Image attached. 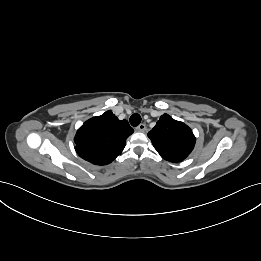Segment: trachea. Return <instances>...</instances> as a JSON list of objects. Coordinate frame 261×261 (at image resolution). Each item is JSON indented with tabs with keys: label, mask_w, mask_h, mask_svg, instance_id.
I'll use <instances>...</instances> for the list:
<instances>
[{
	"label": "trachea",
	"mask_w": 261,
	"mask_h": 261,
	"mask_svg": "<svg viewBox=\"0 0 261 261\" xmlns=\"http://www.w3.org/2000/svg\"><path fill=\"white\" fill-rule=\"evenodd\" d=\"M129 121L132 126H138L141 122V116L138 113H134L131 115Z\"/></svg>",
	"instance_id": "1"
}]
</instances>
